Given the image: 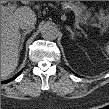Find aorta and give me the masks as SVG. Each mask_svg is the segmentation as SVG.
<instances>
[{
	"instance_id": "1",
	"label": "aorta",
	"mask_w": 109,
	"mask_h": 109,
	"mask_svg": "<svg viewBox=\"0 0 109 109\" xmlns=\"http://www.w3.org/2000/svg\"><path fill=\"white\" fill-rule=\"evenodd\" d=\"M58 30L55 25L45 23L41 28V35L46 40H55L57 38Z\"/></svg>"
}]
</instances>
